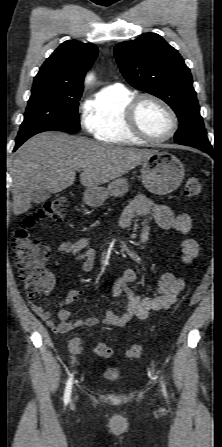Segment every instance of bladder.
Here are the masks:
<instances>
[{
	"instance_id": "31cf9c89",
	"label": "bladder",
	"mask_w": 222,
	"mask_h": 447,
	"mask_svg": "<svg viewBox=\"0 0 222 447\" xmlns=\"http://www.w3.org/2000/svg\"><path fill=\"white\" fill-rule=\"evenodd\" d=\"M120 375V371L114 369H105L102 372L103 378L108 381H115L120 378Z\"/></svg>"
}]
</instances>
